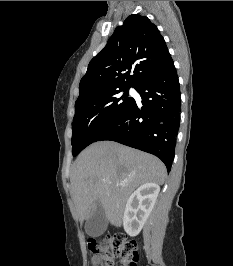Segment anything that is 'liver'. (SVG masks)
<instances>
[{"instance_id": "6515ba94", "label": "liver", "mask_w": 233, "mask_h": 266, "mask_svg": "<svg viewBox=\"0 0 233 266\" xmlns=\"http://www.w3.org/2000/svg\"><path fill=\"white\" fill-rule=\"evenodd\" d=\"M166 175L165 165L153 155L114 141L91 144L77 157L70 178L79 220H87L99 203L107 220L120 227L132 192L145 183L162 185Z\"/></svg>"}]
</instances>
